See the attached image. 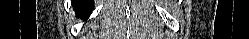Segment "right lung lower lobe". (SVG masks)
Here are the masks:
<instances>
[{
  "mask_svg": "<svg viewBox=\"0 0 249 39\" xmlns=\"http://www.w3.org/2000/svg\"><path fill=\"white\" fill-rule=\"evenodd\" d=\"M74 8L78 9V11L86 13L87 15H90L94 8V2L93 0H78L75 2Z\"/></svg>",
  "mask_w": 249,
  "mask_h": 39,
  "instance_id": "1",
  "label": "right lung lower lobe"
}]
</instances>
